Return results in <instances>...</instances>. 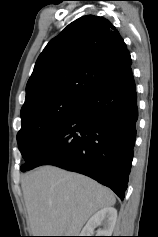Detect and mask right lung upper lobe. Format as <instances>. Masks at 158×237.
Returning <instances> with one entry per match:
<instances>
[{
    "label": "right lung upper lobe",
    "mask_w": 158,
    "mask_h": 237,
    "mask_svg": "<svg viewBox=\"0 0 158 237\" xmlns=\"http://www.w3.org/2000/svg\"><path fill=\"white\" fill-rule=\"evenodd\" d=\"M131 63L130 53L110 21L83 16L52 39L38 57L21 113L54 98L84 101Z\"/></svg>",
    "instance_id": "cb5924a9"
}]
</instances>
